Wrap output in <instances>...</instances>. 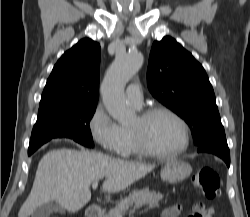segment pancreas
I'll return each mask as SVG.
<instances>
[{
  "instance_id": "cf45deb5",
  "label": "pancreas",
  "mask_w": 250,
  "mask_h": 217,
  "mask_svg": "<svg viewBox=\"0 0 250 217\" xmlns=\"http://www.w3.org/2000/svg\"><path fill=\"white\" fill-rule=\"evenodd\" d=\"M162 198V194L150 191L148 188L135 191L128 197L121 200L115 208L111 209L103 217H119V215L124 214L133 204L135 205L133 212L143 206L153 207L158 204Z\"/></svg>"
}]
</instances>
